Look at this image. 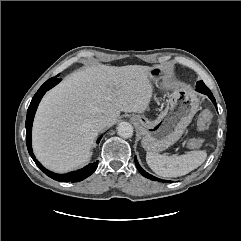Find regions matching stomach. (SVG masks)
Returning <instances> with one entry per match:
<instances>
[{
	"label": "stomach",
	"mask_w": 241,
	"mask_h": 241,
	"mask_svg": "<svg viewBox=\"0 0 241 241\" xmlns=\"http://www.w3.org/2000/svg\"><path fill=\"white\" fill-rule=\"evenodd\" d=\"M168 69L157 65L150 72L153 83L159 84L166 79ZM199 108V99L191 89L184 86H174L168 95L165 109L156 120L150 121L144 116L132 117L142 136V147L158 153L166 150L177 142Z\"/></svg>",
	"instance_id": "stomach-1"
}]
</instances>
